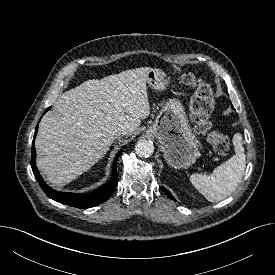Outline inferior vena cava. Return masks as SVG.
Segmentation results:
<instances>
[{"mask_svg":"<svg viewBox=\"0 0 275 275\" xmlns=\"http://www.w3.org/2000/svg\"><path fill=\"white\" fill-rule=\"evenodd\" d=\"M127 130L125 128H121L116 132V136H125L127 135Z\"/></svg>","mask_w":275,"mask_h":275,"instance_id":"obj_1","label":"inferior vena cava"}]
</instances>
